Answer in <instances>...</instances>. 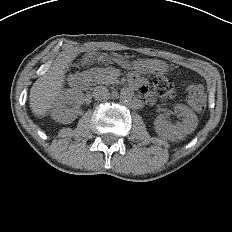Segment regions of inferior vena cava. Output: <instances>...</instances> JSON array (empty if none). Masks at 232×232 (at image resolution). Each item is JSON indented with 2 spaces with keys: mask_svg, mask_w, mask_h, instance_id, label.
Returning a JSON list of instances; mask_svg holds the SVG:
<instances>
[{
  "mask_svg": "<svg viewBox=\"0 0 232 232\" xmlns=\"http://www.w3.org/2000/svg\"><path fill=\"white\" fill-rule=\"evenodd\" d=\"M109 91L105 86H96L93 89V97L98 100H104L109 98Z\"/></svg>",
  "mask_w": 232,
  "mask_h": 232,
  "instance_id": "inferior-vena-cava-1",
  "label": "inferior vena cava"
}]
</instances>
